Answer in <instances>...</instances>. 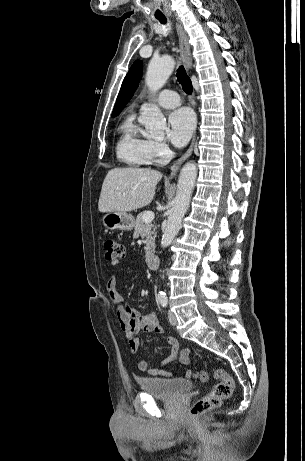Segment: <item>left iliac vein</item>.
I'll use <instances>...</instances> for the list:
<instances>
[{
  "label": "left iliac vein",
  "mask_w": 305,
  "mask_h": 461,
  "mask_svg": "<svg viewBox=\"0 0 305 461\" xmlns=\"http://www.w3.org/2000/svg\"><path fill=\"white\" fill-rule=\"evenodd\" d=\"M169 322L171 325L175 326L177 324V319L173 311L168 312Z\"/></svg>",
  "instance_id": "4c4485c4"
}]
</instances>
